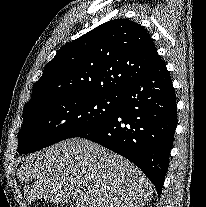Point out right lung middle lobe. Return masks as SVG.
I'll list each match as a JSON object with an SVG mask.
<instances>
[{"instance_id":"dd1d6c3e","label":"right lung middle lobe","mask_w":206,"mask_h":207,"mask_svg":"<svg viewBox=\"0 0 206 207\" xmlns=\"http://www.w3.org/2000/svg\"><path fill=\"white\" fill-rule=\"evenodd\" d=\"M118 106V95L76 96L37 104L24 110L18 152H35L77 137L114 114Z\"/></svg>"}]
</instances>
